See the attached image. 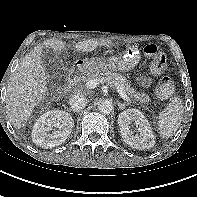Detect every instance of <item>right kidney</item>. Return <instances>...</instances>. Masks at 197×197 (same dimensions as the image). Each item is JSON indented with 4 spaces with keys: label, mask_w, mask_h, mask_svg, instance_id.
Returning <instances> with one entry per match:
<instances>
[{
    "label": "right kidney",
    "mask_w": 197,
    "mask_h": 197,
    "mask_svg": "<svg viewBox=\"0 0 197 197\" xmlns=\"http://www.w3.org/2000/svg\"><path fill=\"white\" fill-rule=\"evenodd\" d=\"M73 127L74 121L68 112L47 111L35 122L32 141L43 148L59 146L70 136Z\"/></svg>",
    "instance_id": "right-kidney-1"
}]
</instances>
